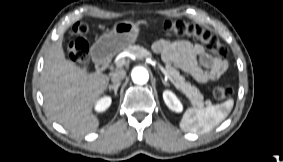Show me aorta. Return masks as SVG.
I'll return each instance as SVG.
<instances>
[{
    "mask_svg": "<svg viewBox=\"0 0 283 162\" xmlns=\"http://www.w3.org/2000/svg\"><path fill=\"white\" fill-rule=\"evenodd\" d=\"M132 80L136 84H145L149 80V73L143 67H135L132 71Z\"/></svg>",
    "mask_w": 283,
    "mask_h": 162,
    "instance_id": "aorta-1",
    "label": "aorta"
}]
</instances>
